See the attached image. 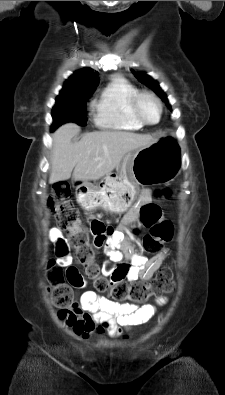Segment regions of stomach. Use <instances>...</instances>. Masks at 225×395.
<instances>
[{
    "instance_id": "0dacf381",
    "label": "stomach",
    "mask_w": 225,
    "mask_h": 395,
    "mask_svg": "<svg viewBox=\"0 0 225 395\" xmlns=\"http://www.w3.org/2000/svg\"><path fill=\"white\" fill-rule=\"evenodd\" d=\"M178 172L177 158L161 142H154L129 152L117 174L106 175L97 186L79 187L77 200L85 209L123 213L133 204L139 186L168 183Z\"/></svg>"
}]
</instances>
